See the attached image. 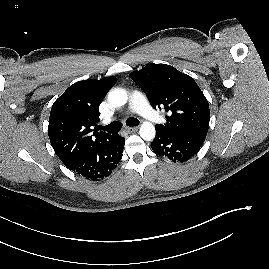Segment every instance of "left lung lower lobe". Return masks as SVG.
<instances>
[{"label":"left lung lower lobe","instance_id":"1","mask_svg":"<svg viewBox=\"0 0 269 269\" xmlns=\"http://www.w3.org/2000/svg\"><path fill=\"white\" fill-rule=\"evenodd\" d=\"M205 138L206 134L168 133L156 128V137L151 148L161 157L169 158L173 162H183L199 151Z\"/></svg>","mask_w":269,"mask_h":269}]
</instances>
